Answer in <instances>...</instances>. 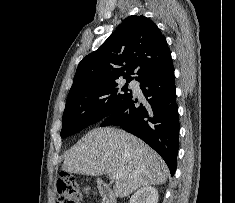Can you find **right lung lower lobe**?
<instances>
[{
  "label": "right lung lower lobe",
  "mask_w": 235,
  "mask_h": 203,
  "mask_svg": "<svg viewBox=\"0 0 235 203\" xmlns=\"http://www.w3.org/2000/svg\"><path fill=\"white\" fill-rule=\"evenodd\" d=\"M138 81L148 104L138 106V100L131 96L100 126H120L145 141L161 155L173 176L179 147V117L172 62Z\"/></svg>",
  "instance_id": "obj_1"
}]
</instances>
